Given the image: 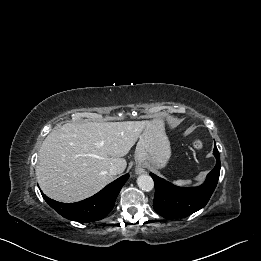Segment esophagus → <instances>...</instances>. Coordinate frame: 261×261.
I'll return each mask as SVG.
<instances>
[{
  "label": "esophagus",
  "instance_id": "esophagus-1",
  "mask_svg": "<svg viewBox=\"0 0 261 261\" xmlns=\"http://www.w3.org/2000/svg\"><path fill=\"white\" fill-rule=\"evenodd\" d=\"M145 172H146L145 169L143 167H141V166L136 168V173L137 174H142V173H145Z\"/></svg>",
  "mask_w": 261,
  "mask_h": 261
}]
</instances>
